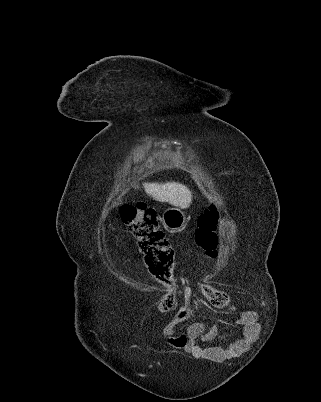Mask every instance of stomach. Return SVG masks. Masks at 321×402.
<instances>
[{
  "instance_id": "0dacf381",
  "label": "stomach",
  "mask_w": 321,
  "mask_h": 402,
  "mask_svg": "<svg viewBox=\"0 0 321 402\" xmlns=\"http://www.w3.org/2000/svg\"><path fill=\"white\" fill-rule=\"evenodd\" d=\"M162 223L171 232L180 231L186 222L184 213L179 208H168L162 214Z\"/></svg>"
}]
</instances>
